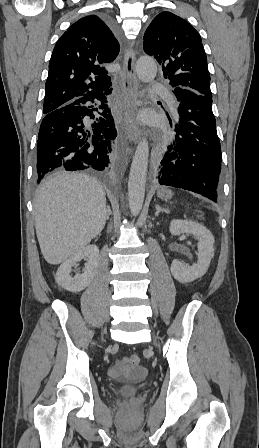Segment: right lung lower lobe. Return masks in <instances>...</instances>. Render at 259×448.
Returning <instances> with one entry per match:
<instances>
[{
  "label": "right lung lower lobe",
  "mask_w": 259,
  "mask_h": 448,
  "mask_svg": "<svg viewBox=\"0 0 259 448\" xmlns=\"http://www.w3.org/2000/svg\"><path fill=\"white\" fill-rule=\"evenodd\" d=\"M111 90L44 114L37 142V183L59 168L103 171L108 167L112 142L117 136L106 104ZM96 99L100 105L94 103Z\"/></svg>",
  "instance_id": "obj_1"
}]
</instances>
